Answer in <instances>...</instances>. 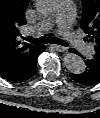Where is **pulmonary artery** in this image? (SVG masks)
I'll return each instance as SVG.
<instances>
[{"label": "pulmonary artery", "instance_id": "e3ab8cb5", "mask_svg": "<svg viewBox=\"0 0 100 118\" xmlns=\"http://www.w3.org/2000/svg\"><path fill=\"white\" fill-rule=\"evenodd\" d=\"M75 13V6L71 0H64L55 15V20L59 23L60 34L70 42L73 46L82 49L86 55H91L92 47L81 42L72 31L73 17ZM54 20L47 19L42 21L37 26V32L47 31L53 25Z\"/></svg>", "mask_w": 100, "mask_h": 118}]
</instances>
